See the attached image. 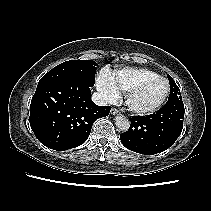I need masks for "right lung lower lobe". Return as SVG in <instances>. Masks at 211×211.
Masks as SVG:
<instances>
[{
    "label": "right lung lower lobe",
    "mask_w": 211,
    "mask_h": 211,
    "mask_svg": "<svg viewBox=\"0 0 211 211\" xmlns=\"http://www.w3.org/2000/svg\"><path fill=\"white\" fill-rule=\"evenodd\" d=\"M90 88L77 79L37 87L29 122L43 145L57 151L75 148L87 140L93 123L109 114L110 106L92 102Z\"/></svg>",
    "instance_id": "right-lung-lower-lobe-1"
}]
</instances>
